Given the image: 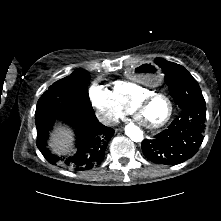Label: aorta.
I'll return each instance as SVG.
<instances>
[{
	"mask_svg": "<svg viewBox=\"0 0 221 221\" xmlns=\"http://www.w3.org/2000/svg\"><path fill=\"white\" fill-rule=\"evenodd\" d=\"M125 134L134 142H141L144 139L143 131L134 124L125 126Z\"/></svg>",
	"mask_w": 221,
	"mask_h": 221,
	"instance_id": "obj_1",
	"label": "aorta"
}]
</instances>
